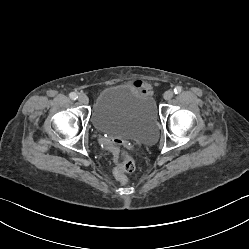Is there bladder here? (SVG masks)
<instances>
[{"label": "bladder", "mask_w": 249, "mask_h": 249, "mask_svg": "<svg viewBox=\"0 0 249 249\" xmlns=\"http://www.w3.org/2000/svg\"><path fill=\"white\" fill-rule=\"evenodd\" d=\"M94 128L124 140L151 144L158 134V113L152 96L132 85L104 88L92 115Z\"/></svg>", "instance_id": "bladder-1"}]
</instances>
